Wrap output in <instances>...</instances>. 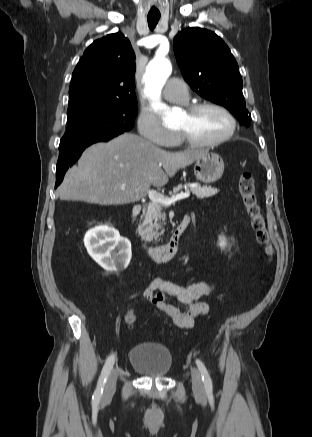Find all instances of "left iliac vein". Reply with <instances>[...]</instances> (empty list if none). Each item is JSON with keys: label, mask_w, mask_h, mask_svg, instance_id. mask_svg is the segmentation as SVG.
<instances>
[{"label": "left iliac vein", "mask_w": 312, "mask_h": 437, "mask_svg": "<svg viewBox=\"0 0 312 437\" xmlns=\"http://www.w3.org/2000/svg\"><path fill=\"white\" fill-rule=\"evenodd\" d=\"M191 378H192V389L194 394L199 398H204L205 390H204L203 382L201 380L199 373L195 369H192L191 371Z\"/></svg>", "instance_id": "4c4485c4"}]
</instances>
